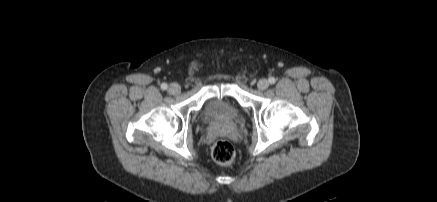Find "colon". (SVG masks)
I'll use <instances>...</instances> for the list:
<instances>
[{"mask_svg": "<svg viewBox=\"0 0 437 202\" xmlns=\"http://www.w3.org/2000/svg\"><path fill=\"white\" fill-rule=\"evenodd\" d=\"M212 158L221 165H230L235 159V150L232 144L222 138L217 139L211 150Z\"/></svg>", "mask_w": 437, "mask_h": 202, "instance_id": "colon-1", "label": "colon"}]
</instances>
